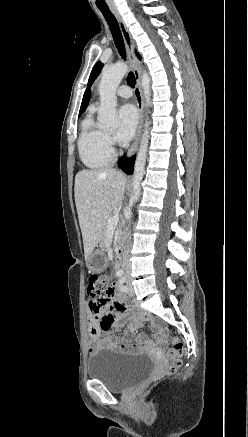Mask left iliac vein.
I'll return each mask as SVG.
<instances>
[{"label": "left iliac vein", "instance_id": "left-iliac-vein-1", "mask_svg": "<svg viewBox=\"0 0 248 437\" xmlns=\"http://www.w3.org/2000/svg\"><path fill=\"white\" fill-rule=\"evenodd\" d=\"M126 284H127V287H128V294H129L130 296H133V295H134V288H133V286H132L131 281H130V280H127Z\"/></svg>", "mask_w": 248, "mask_h": 437}]
</instances>
